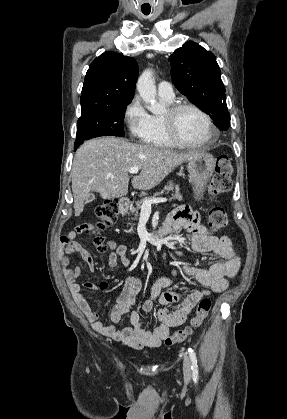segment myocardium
<instances>
[{"label": "myocardium", "mask_w": 287, "mask_h": 419, "mask_svg": "<svg viewBox=\"0 0 287 419\" xmlns=\"http://www.w3.org/2000/svg\"><path fill=\"white\" fill-rule=\"evenodd\" d=\"M185 109H191V110L196 111L205 120L209 129V135L204 141L199 142V143H190L182 139L180 135L177 133L176 126H175V117L179 112ZM169 111H170L169 117H162V123H163L164 130L167 137L177 146H182V147H187V148H201V147H205L213 143L218 138V131L213 120L208 115V113L205 112L199 106L193 103H189V102H179V103L172 104L169 107Z\"/></svg>", "instance_id": "obj_1"}]
</instances>
